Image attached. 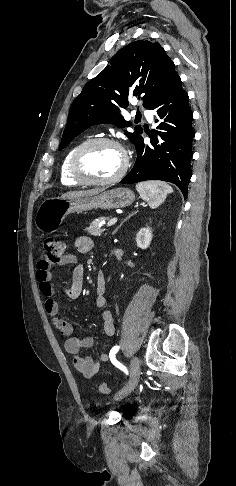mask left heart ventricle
Instances as JSON below:
<instances>
[{"label": "left heart ventricle", "mask_w": 236, "mask_h": 486, "mask_svg": "<svg viewBox=\"0 0 236 486\" xmlns=\"http://www.w3.org/2000/svg\"><path fill=\"white\" fill-rule=\"evenodd\" d=\"M123 165L122 152L115 146L101 144L91 148L82 158L83 171L92 178L106 179L116 175Z\"/></svg>", "instance_id": "left-heart-ventricle-1"}]
</instances>
